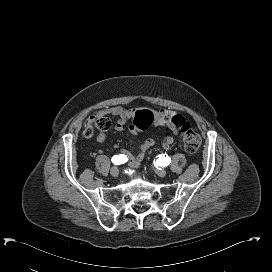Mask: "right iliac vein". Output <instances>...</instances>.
Listing matches in <instances>:
<instances>
[{"label":"right iliac vein","mask_w":272,"mask_h":272,"mask_svg":"<svg viewBox=\"0 0 272 272\" xmlns=\"http://www.w3.org/2000/svg\"><path fill=\"white\" fill-rule=\"evenodd\" d=\"M110 174L112 177L116 178L118 177V174H119V170L117 167H113L111 170H110Z\"/></svg>","instance_id":"obj_1"}]
</instances>
